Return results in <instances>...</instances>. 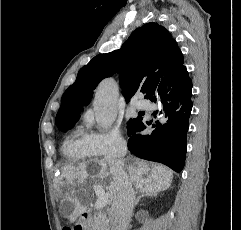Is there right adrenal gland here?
I'll list each match as a JSON object with an SVG mask.
<instances>
[{
    "instance_id": "1",
    "label": "right adrenal gland",
    "mask_w": 241,
    "mask_h": 230,
    "mask_svg": "<svg viewBox=\"0 0 241 230\" xmlns=\"http://www.w3.org/2000/svg\"><path fill=\"white\" fill-rule=\"evenodd\" d=\"M154 196H155V195H150V194H147V193H141V194H139L138 197L136 198L134 205H135V206L138 205L140 199L143 198V197H154Z\"/></svg>"
}]
</instances>
